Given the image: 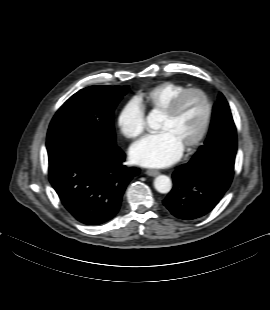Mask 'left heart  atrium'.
<instances>
[{
	"instance_id": "39dd6f15",
	"label": "left heart atrium",
	"mask_w": 270,
	"mask_h": 310,
	"mask_svg": "<svg viewBox=\"0 0 270 310\" xmlns=\"http://www.w3.org/2000/svg\"><path fill=\"white\" fill-rule=\"evenodd\" d=\"M183 149L167 132L147 135L135 143L130 150L131 160L140 166L160 168L177 161Z\"/></svg>"
}]
</instances>
